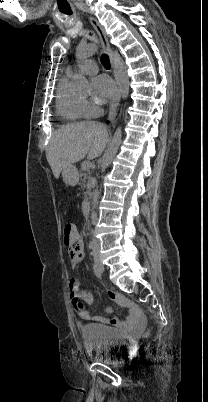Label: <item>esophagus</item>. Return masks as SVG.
Returning <instances> with one entry per match:
<instances>
[{
  "instance_id": "1",
  "label": "esophagus",
  "mask_w": 208,
  "mask_h": 402,
  "mask_svg": "<svg viewBox=\"0 0 208 402\" xmlns=\"http://www.w3.org/2000/svg\"><path fill=\"white\" fill-rule=\"evenodd\" d=\"M90 23L92 24V26L95 28V30L97 31L100 40H101V44L104 50H106L108 57L110 59V63L111 66L114 70V76L115 79L117 80V76H116V69H115V65H114V58H113V52L111 50L108 38L103 30V28L101 27V25L97 22V20L95 18H90ZM120 99H121V93L120 90H118L117 92V96L115 98V100L111 103L110 105V109H109V119L113 120L116 116L117 113V109L120 103Z\"/></svg>"
}]
</instances>
